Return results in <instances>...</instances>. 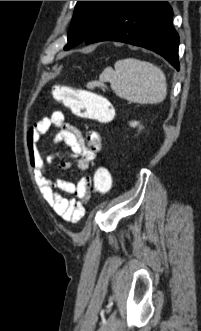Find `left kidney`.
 <instances>
[{
	"mask_svg": "<svg viewBox=\"0 0 201 331\" xmlns=\"http://www.w3.org/2000/svg\"><path fill=\"white\" fill-rule=\"evenodd\" d=\"M137 125H139V122H137V121H132V122L130 123V126H131V127H136Z\"/></svg>",
	"mask_w": 201,
	"mask_h": 331,
	"instance_id": "1",
	"label": "left kidney"
}]
</instances>
